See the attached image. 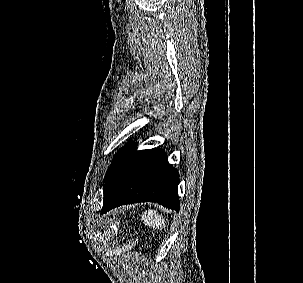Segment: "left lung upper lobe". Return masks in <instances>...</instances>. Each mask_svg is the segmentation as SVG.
<instances>
[{
  "instance_id": "1",
  "label": "left lung upper lobe",
  "mask_w": 303,
  "mask_h": 283,
  "mask_svg": "<svg viewBox=\"0 0 303 283\" xmlns=\"http://www.w3.org/2000/svg\"><path fill=\"white\" fill-rule=\"evenodd\" d=\"M116 157H117V156H116ZM116 157L114 158L113 163H114V161L116 160ZM111 168H112V166L110 167V169H109V171H108V173H107L106 177L108 176V174H109V172H110Z\"/></svg>"
}]
</instances>
